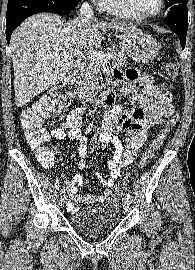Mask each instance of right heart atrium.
Wrapping results in <instances>:
<instances>
[{"label":"right heart atrium","instance_id":"d8ad5b80","mask_svg":"<svg viewBox=\"0 0 195 270\" xmlns=\"http://www.w3.org/2000/svg\"><path fill=\"white\" fill-rule=\"evenodd\" d=\"M91 1H93L96 4H99V6H100V3H101L102 0H91Z\"/></svg>","mask_w":195,"mask_h":270}]
</instances>
